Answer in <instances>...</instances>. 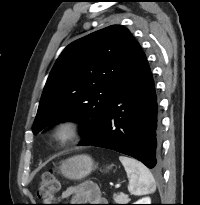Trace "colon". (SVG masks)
Listing matches in <instances>:
<instances>
[{
    "label": "colon",
    "mask_w": 200,
    "mask_h": 205,
    "mask_svg": "<svg viewBox=\"0 0 200 205\" xmlns=\"http://www.w3.org/2000/svg\"><path fill=\"white\" fill-rule=\"evenodd\" d=\"M60 190V182L53 170L44 173L39 182L38 194L41 198L50 199Z\"/></svg>",
    "instance_id": "1"
}]
</instances>
